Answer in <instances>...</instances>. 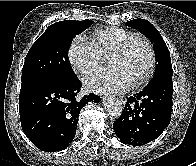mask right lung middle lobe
<instances>
[{"instance_id": "dd1d6c3e", "label": "right lung middle lobe", "mask_w": 196, "mask_h": 166, "mask_svg": "<svg viewBox=\"0 0 196 166\" xmlns=\"http://www.w3.org/2000/svg\"><path fill=\"white\" fill-rule=\"evenodd\" d=\"M92 23L86 19L66 20L50 25L27 53L21 79L48 76L71 81L76 78L67 56L69 44Z\"/></svg>"}]
</instances>
